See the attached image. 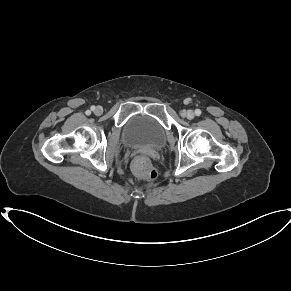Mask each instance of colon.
<instances>
[{"label":"colon","instance_id":"1","mask_svg":"<svg viewBox=\"0 0 291 291\" xmlns=\"http://www.w3.org/2000/svg\"><path fill=\"white\" fill-rule=\"evenodd\" d=\"M134 172L146 179L154 180L157 177V171L152 167L146 158L138 157L133 163Z\"/></svg>","mask_w":291,"mask_h":291}]
</instances>
